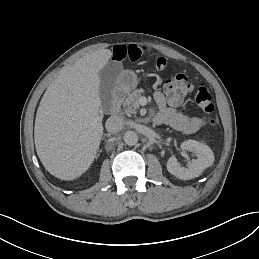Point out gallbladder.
Returning a JSON list of instances; mask_svg holds the SVG:
<instances>
[{
    "mask_svg": "<svg viewBox=\"0 0 259 259\" xmlns=\"http://www.w3.org/2000/svg\"><path fill=\"white\" fill-rule=\"evenodd\" d=\"M122 63L109 61L98 73L100 77L99 98L102 111L108 113L112 109L113 89L116 85L118 74L122 71Z\"/></svg>",
    "mask_w": 259,
    "mask_h": 259,
    "instance_id": "gallbladder-1",
    "label": "gallbladder"
}]
</instances>
